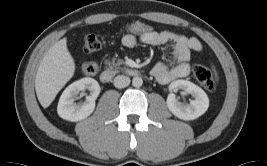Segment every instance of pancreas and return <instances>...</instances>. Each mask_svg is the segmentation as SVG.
<instances>
[{"mask_svg":"<svg viewBox=\"0 0 267 166\" xmlns=\"http://www.w3.org/2000/svg\"><path fill=\"white\" fill-rule=\"evenodd\" d=\"M124 63V61L122 59H118L117 61L115 59L110 60H106L105 64L108 66V69L114 71V72H118V70L120 69H125L120 67L122 64Z\"/></svg>","mask_w":267,"mask_h":166,"instance_id":"pancreas-1","label":"pancreas"}]
</instances>
